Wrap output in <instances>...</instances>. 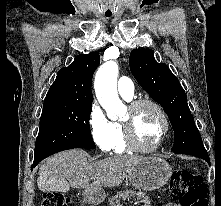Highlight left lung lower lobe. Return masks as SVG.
<instances>
[{
	"mask_svg": "<svg viewBox=\"0 0 221 206\" xmlns=\"http://www.w3.org/2000/svg\"><path fill=\"white\" fill-rule=\"evenodd\" d=\"M189 155H192V156H196V157L202 158V159H204L205 161H207V162L210 164V160H209V156H208V154H207V155H195V154H189Z\"/></svg>",
	"mask_w": 221,
	"mask_h": 206,
	"instance_id": "0a47b994",
	"label": "left lung lower lobe"
}]
</instances>
